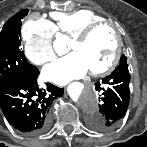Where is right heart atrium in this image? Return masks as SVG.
I'll return each instance as SVG.
<instances>
[{
    "instance_id": "1",
    "label": "right heart atrium",
    "mask_w": 147,
    "mask_h": 147,
    "mask_svg": "<svg viewBox=\"0 0 147 147\" xmlns=\"http://www.w3.org/2000/svg\"><path fill=\"white\" fill-rule=\"evenodd\" d=\"M53 24L40 16L30 17L22 27L24 52L30 62L42 66L55 58Z\"/></svg>"
}]
</instances>
